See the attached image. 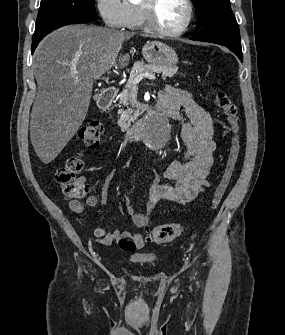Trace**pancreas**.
<instances>
[{"mask_svg": "<svg viewBox=\"0 0 285 335\" xmlns=\"http://www.w3.org/2000/svg\"><path fill=\"white\" fill-rule=\"evenodd\" d=\"M154 70H160V72H164L158 76V79L163 81L167 76H169V78H173L178 68L177 66H173V68H168V66H157V64H134L132 72L128 74L127 79L128 81H135L136 76H139V74H144V72H154ZM126 89L127 90H125L123 96H121V104L126 106L127 110H120V112L116 114L117 125H133V123L136 122L139 117L137 111L138 107L133 105L131 108H129L128 104V90L133 89V84L127 83Z\"/></svg>", "mask_w": 285, "mask_h": 335, "instance_id": "pancreas-1", "label": "pancreas"}]
</instances>
